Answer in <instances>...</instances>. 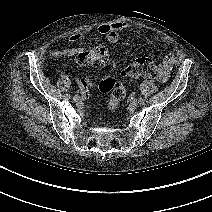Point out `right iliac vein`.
Wrapping results in <instances>:
<instances>
[{
  "mask_svg": "<svg viewBox=\"0 0 212 212\" xmlns=\"http://www.w3.org/2000/svg\"><path fill=\"white\" fill-rule=\"evenodd\" d=\"M73 100H74L75 102H79V101H80V96H79V95H75V96L73 97Z\"/></svg>",
  "mask_w": 212,
  "mask_h": 212,
  "instance_id": "1",
  "label": "right iliac vein"
}]
</instances>
